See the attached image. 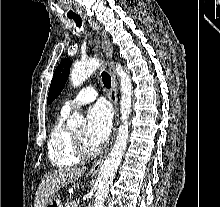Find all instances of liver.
<instances>
[{"label": "liver", "mask_w": 220, "mask_h": 207, "mask_svg": "<svg viewBox=\"0 0 220 207\" xmlns=\"http://www.w3.org/2000/svg\"><path fill=\"white\" fill-rule=\"evenodd\" d=\"M86 168H59L46 174L38 187L34 207H45L60 188L83 176Z\"/></svg>", "instance_id": "obj_1"}]
</instances>
